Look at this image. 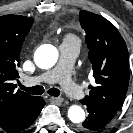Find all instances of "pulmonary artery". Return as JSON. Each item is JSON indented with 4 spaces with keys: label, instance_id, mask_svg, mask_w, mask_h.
I'll use <instances>...</instances> for the list:
<instances>
[{
    "label": "pulmonary artery",
    "instance_id": "obj_1",
    "mask_svg": "<svg viewBox=\"0 0 133 133\" xmlns=\"http://www.w3.org/2000/svg\"><path fill=\"white\" fill-rule=\"evenodd\" d=\"M79 52V45L63 43L60 46V58L57 65L38 76L27 78L24 84L27 86L40 83H60L65 93L72 99L83 97V90L72 80L71 69Z\"/></svg>",
    "mask_w": 133,
    "mask_h": 133
}]
</instances>
